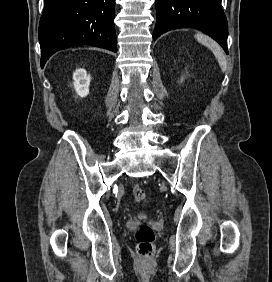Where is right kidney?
Here are the masks:
<instances>
[{"label":"right kidney","instance_id":"ca27d5eb","mask_svg":"<svg viewBox=\"0 0 272 282\" xmlns=\"http://www.w3.org/2000/svg\"><path fill=\"white\" fill-rule=\"evenodd\" d=\"M73 85L80 97H86L89 93V85L91 77L85 69H77L73 73Z\"/></svg>","mask_w":272,"mask_h":282}]
</instances>
